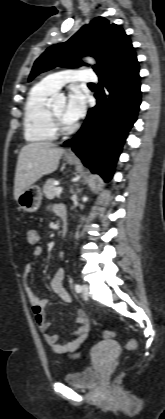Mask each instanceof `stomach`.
Segmentation results:
<instances>
[{
	"instance_id": "obj_1",
	"label": "stomach",
	"mask_w": 165,
	"mask_h": 419,
	"mask_svg": "<svg viewBox=\"0 0 165 419\" xmlns=\"http://www.w3.org/2000/svg\"><path fill=\"white\" fill-rule=\"evenodd\" d=\"M68 164H73L75 160L73 158H66ZM18 206L25 212H36L42 201V191L37 185H31L24 189L17 198Z\"/></svg>"
}]
</instances>
